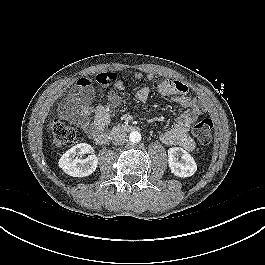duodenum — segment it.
<instances>
[{
    "instance_id": "410a0bca",
    "label": "duodenum",
    "mask_w": 265,
    "mask_h": 265,
    "mask_svg": "<svg viewBox=\"0 0 265 265\" xmlns=\"http://www.w3.org/2000/svg\"><path fill=\"white\" fill-rule=\"evenodd\" d=\"M137 129L138 127L136 125L124 123V124H119L112 129L105 128L103 131L95 133L93 137L98 144L104 145L116 135L133 132L136 131Z\"/></svg>"
}]
</instances>
